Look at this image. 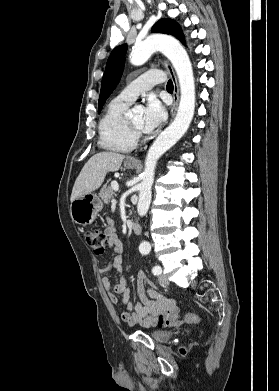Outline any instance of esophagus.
<instances>
[{
	"instance_id": "esophagus-1",
	"label": "esophagus",
	"mask_w": 279,
	"mask_h": 391,
	"mask_svg": "<svg viewBox=\"0 0 279 391\" xmlns=\"http://www.w3.org/2000/svg\"><path fill=\"white\" fill-rule=\"evenodd\" d=\"M164 65H165V68L167 70V72L169 73L170 75V78L173 82V85H174V91H173V105H172V108H171V118L174 117L175 113H176V110H177V107H178V102H179V86H178V81H177V77L175 75V72L173 70V67L170 65V63L168 61H165L164 62ZM129 161L131 162H138V160L134 157H130L128 159Z\"/></svg>"
}]
</instances>
